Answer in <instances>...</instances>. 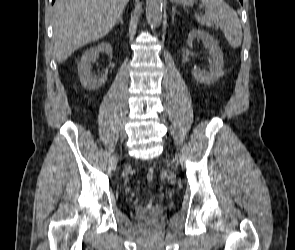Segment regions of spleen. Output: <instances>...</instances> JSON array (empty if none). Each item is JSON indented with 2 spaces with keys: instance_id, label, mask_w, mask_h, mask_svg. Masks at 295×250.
Instances as JSON below:
<instances>
[{
  "instance_id": "1",
  "label": "spleen",
  "mask_w": 295,
  "mask_h": 250,
  "mask_svg": "<svg viewBox=\"0 0 295 250\" xmlns=\"http://www.w3.org/2000/svg\"><path fill=\"white\" fill-rule=\"evenodd\" d=\"M207 12L204 16L195 14L201 25L214 27L216 24L223 31L229 45L238 48L242 43V29L237 13L223 0H201Z\"/></svg>"
}]
</instances>
